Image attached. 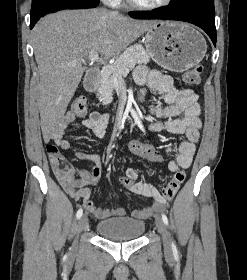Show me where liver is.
Instances as JSON below:
<instances>
[{"label":"liver","mask_w":247,"mask_h":280,"mask_svg":"<svg viewBox=\"0 0 247 280\" xmlns=\"http://www.w3.org/2000/svg\"><path fill=\"white\" fill-rule=\"evenodd\" d=\"M156 23L87 9L47 15L34 26L32 41L40 74L38 108L45 143L74 96L83 76L81 64L89 53L117 56Z\"/></svg>","instance_id":"liver-1"}]
</instances>
